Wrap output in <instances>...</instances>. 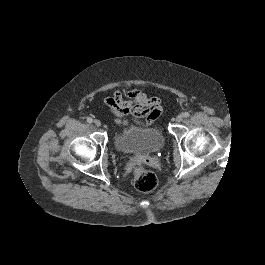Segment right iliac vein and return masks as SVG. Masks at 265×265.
Returning <instances> with one entry per match:
<instances>
[{
    "label": "right iliac vein",
    "mask_w": 265,
    "mask_h": 265,
    "mask_svg": "<svg viewBox=\"0 0 265 265\" xmlns=\"http://www.w3.org/2000/svg\"><path fill=\"white\" fill-rule=\"evenodd\" d=\"M94 125L97 126V127H100L101 126V121L96 119L94 120Z\"/></svg>",
    "instance_id": "obj_1"
}]
</instances>
